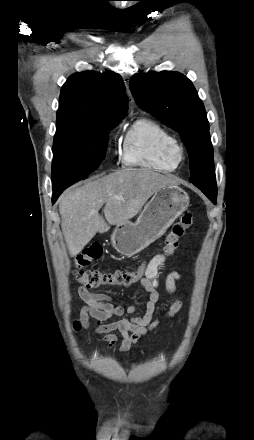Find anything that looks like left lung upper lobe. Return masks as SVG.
<instances>
[{
    "label": "left lung upper lobe",
    "mask_w": 254,
    "mask_h": 440,
    "mask_svg": "<svg viewBox=\"0 0 254 440\" xmlns=\"http://www.w3.org/2000/svg\"><path fill=\"white\" fill-rule=\"evenodd\" d=\"M130 89L137 104L178 131L190 157V182L214 204L217 188L209 123L191 81L178 72L136 74Z\"/></svg>",
    "instance_id": "obj_1"
}]
</instances>
